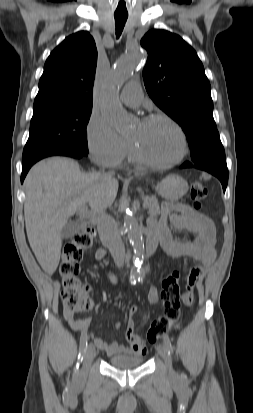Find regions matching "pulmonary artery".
<instances>
[{"mask_svg":"<svg viewBox=\"0 0 253 413\" xmlns=\"http://www.w3.org/2000/svg\"><path fill=\"white\" fill-rule=\"evenodd\" d=\"M121 101L130 107H137L143 99L142 89L136 81L128 83L120 94Z\"/></svg>","mask_w":253,"mask_h":413,"instance_id":"e3ab8cb5","label":"pulmonary artery"}]
</instances>
